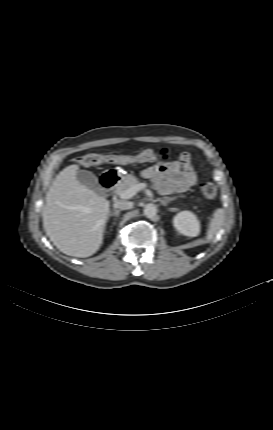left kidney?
Wrapping results in <instances>:
<instances>
[{
  "mask_svg": "<svg viewBox=\"0 0 273 430\" xmlns=\"http://www.w3.org/2000/svg\"><path fill=\"white\" fill-rule=\"evenodd\" d=\"M173 224L176 230L185 236L195 237L200 233V220L192 211L178 213L173 219Z\"/></svg>",
  "mask_w": 273,
  "mask_h": 430,
  "instance_id": "obj_1",
  "label": "left kidney"
}]
</instances>
